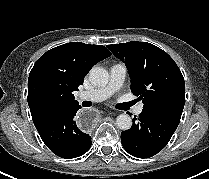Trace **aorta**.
Returning a JSON list of instances; mask_svg holds the SVG:
<instances>
[{
    "mask_svg": "<svg viewBox=\"0 0 209 179\" xmlns=\"http://www.w3.org/2000/svg\"><path fill=\"white\" fill-rule=\"evenodd\" d=\"M89 79L95 86H104L109 81V73L103 67H93L89 72ZM116 124L120 129L128 130L132 126V119L128 114H120Z\"/></svg>",
    "mask_w": 209,
    "mask_h": 179,
    "instance_id": "1",
    "label": "aorta"
}]
</instances>
